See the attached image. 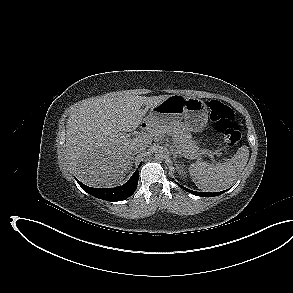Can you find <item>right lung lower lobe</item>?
<instances>
[{"label": "right lung lower lobe", "instance_id": "right-lung-lower-lobe-1", "mask_svg": "<svg viewBox=\"0 0 293 293\" xmlns=\"http://www.w3.org/2000/svg\"><path fill=\"white\" fill-rule=\"evenodd\" d=\"M138 173L139 171H136L127 183L115 188H91L82 184L79 180H76L84 191L97 198L106 201H120L131 196L136 190L139 175Z\"/></svg>", "mask_w": 293, "mask_h": 293}]
</instances>
